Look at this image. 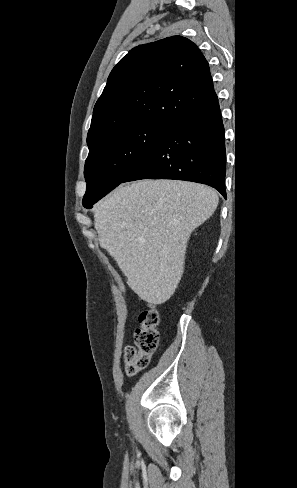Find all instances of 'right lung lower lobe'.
<instances>
[{
    "instance_id": "98d812e1",
    "label": "right lung lower lobe",
    "mask_w": 297,
    "mask_h": 488,
    "mask_svg": "<svg viewBox=\"0 0 297 488\" xmlns=\"http://www.w3.org/2000/svg\"><path fill=\"white\" fill-rule=\"evenodd\" d=\"M225 136L218 98L170 125L123 180L176 179L210 185L225 198Z\"/></svg>"
}]
</instances>
